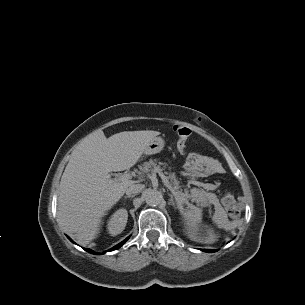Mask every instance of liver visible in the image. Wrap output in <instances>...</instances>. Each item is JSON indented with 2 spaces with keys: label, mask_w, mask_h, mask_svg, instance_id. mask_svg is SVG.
I'll return each mask as SVG.
<instances>
[{
  "label": "liver",
  "mask_w": 305,
  "mask_h": 305,
  "mask_svg": "<svg viewBox=\"0 0 305 305\" xmlns=\"http://www.w3.org/2000/svg\"><path fill=\"white\" fill-rule=\"evenodd\" d=\"M159 132L124 131L106 138L95 131L73 151L60 181L58 222L87 245L100 231L102 217L134 181H114L109 173L134 166Z\"/></svg>",
  "instance_id": "liver-1"
}]
</instances>
